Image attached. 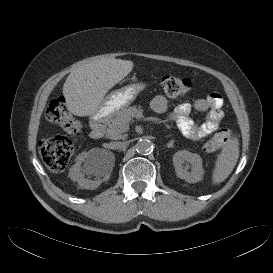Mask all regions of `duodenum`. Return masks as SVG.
Masks as SVG:
<instances>
[{
    "instance_id": "410a0bca",
    "label": "duodenum",
    "mask_w": 273,
    "mask_h": 273,
    "mask_svg": "<svg viewBox=\"0 0 273 273\" xmlns=\"http://www.w3.org/2000/svg\"><path fill=\"white\" fill-rule=\"evenodd\" d=\"M105 119L97 117L92 121L90 137L93 140H99L103 137L105 131Z\"/></svg>"
}]
</instances>
